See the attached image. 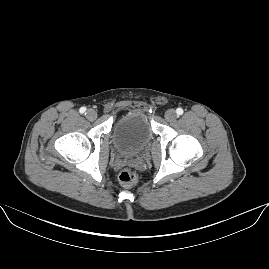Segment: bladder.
Returning <instances> with one entry per match:
<instances>
[{"label": "bladder", "mask_w": 269, "mask_h": 269, "mask_svg": "<svg viewBox=\"0 0 269 269\" xmlns=\"http://www.w3.org/2000/svg\"><path fill=\"white\" fill-rule=\"evenodd\" d=\"M151 121L141 111H128L114 120L111 137L122 155H137L151 137Z\"/></svg>", "instance_id": "31cf9c89"}]
</instances>
